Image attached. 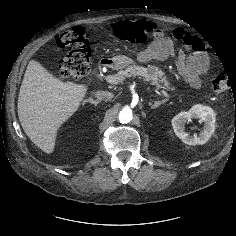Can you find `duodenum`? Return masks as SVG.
Masks as SVG:
<instances>
[{"label":"duodenum","mask_w":236,"mask_h":236,"mask_svg":"<svg viewBox=\"0 0 236 236\" xmlns=\"http://www.w3.org/2000/svg\"><path fill=\"white\" fill-rule=\"evenodd\" d=\"M114 65V61L111 59H102L98 63V68H107Z\"/></svg>","instance_id":"410a0bca"}]
</instances>
